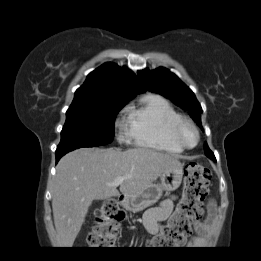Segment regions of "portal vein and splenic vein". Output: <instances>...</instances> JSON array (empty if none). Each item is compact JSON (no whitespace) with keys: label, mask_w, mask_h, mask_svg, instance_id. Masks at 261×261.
<instances>
[{"label":"portal vein and splenic vein","mask_w":261,"mask_h":261,"mask_svg":"<svg viewBox=\"0 0 261 261\" xmlns=\"http://www.w3.org/2000/svg\"><path fill=\"white\" fill-rule=\"evenodd\" d=\"M128 177H118L116 178L112 183H110L109 185L112 186H118L120 185L125 179H127Z\"/></svg>","instance_id":"portal-vein-and-splenic-vein-1"}]
</instances>
